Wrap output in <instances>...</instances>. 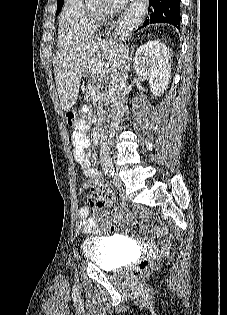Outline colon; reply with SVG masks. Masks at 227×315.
<instances>
[{"label": "colon", "instance_id": "1", "mask_svg": "<svg viewBox=\"0 0 227 315\" xmlns=\"http://www.w3.org/2000/svg\"><path fill=\"white\" fill-rule=\"evenodd\" d=\"M66 122L70 127L77 124V114L74 111L66 113ZM90 206L94 210V215L99 219L100 226H109L112 219V195L102 187H93L87 194ZM152 267L150 259L141 260L133 269V278H140L143 274L149 271Z\"/></svg>", "mask_w": 227, "mask_h": 315}]
</instances>
